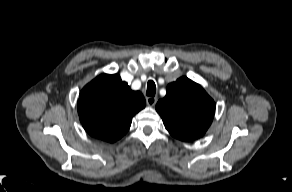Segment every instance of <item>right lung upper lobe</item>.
<instances>
[{
	"label": "right lung upper lobe",
	"instance_id": "cb5924a9",
	"mask_svg": "<svg viewBox=\"0 0 292 192\" xmlns=\"http://www.w3.org/2000/svg\"><path fill=\"white\" fill-rule=\"evenodd\" d=\"M146 105L118 74H101L87 84L78 99V114L92 136L115 142L127 133L132 117Z\"/></svg>",
	"mask_w": 292,
	"mask_h": 192
}]
</instances>
